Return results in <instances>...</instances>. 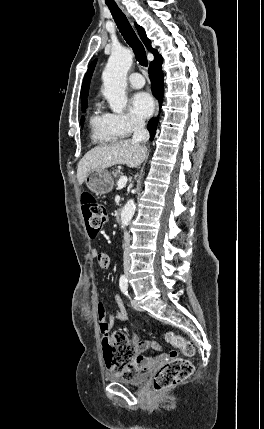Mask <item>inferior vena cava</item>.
I'll list each match as a JSON object with an SVG mask.
<instances>
[{
	"label": "inferior vena cava",
	"instance_id": "inferior-vena-cava-1",
	"mask_svg": "<svg viewBox=\"0 0 264 429\" xmlns=\"http://www.w3.org/2000/svg\"><path fill=\"white\" fill-rule=\"evenodd\" d=\"M134 133H133V137H132V142L133 143H139V142H143L146 143L149 139V132L148 130L145 128V121L142 118H136L135 119V123H134V129H133ZM126 233L125 235V244H123V249L125 250L124 252V257H123V265H124V271H129L130 269V248H129V244H130V236H129V229L126 228L124 230Z\"/></svg>",
	"mask_w": 264,
	"mask_h": 429
}]
</instances>
